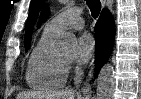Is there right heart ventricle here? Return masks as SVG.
I'll return each instance as SVG.
<instances>
[{
    "label": "right heart ventricle",
    "mask_w": 141,
    "mask_h": 99,
    "mask_svg": "<svg viewBox=\"0 0 141 99\" xmlns=\"http://www.w3.org/2000/svg\"><path fill=\"white\" fill-rule=\"evenodd\" d=\"M55 36L44 30L31 52L25 78L28 86L34 90L50 91L65 84L67 66L52 50Z\"/></svg>",
    "instance_id": "e07e8e85"
}]
</instances>
